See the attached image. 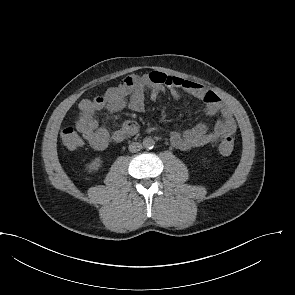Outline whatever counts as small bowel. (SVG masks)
I'll return each instance as SVG.
<instances>
[{"instance_id": "1", "label": "small bowel", "mask_w": 295, "mask_h": 295, "mask_svg": "<svg viewBox=\"0 0 295 295\" xmlns=\"http://www.w3.org/2000/svg\"><path fill=\"white\" fill-rule=\"evenodd\" d=\"M166 88L173 99H179L180 91H183L204 103L205 114L219 115L218 121L211 129L205 123H198L186 131L171 132L170 141L175 148L187 151L217 143L235 133L234 117L215 92L196 82L157 71L142 76H127L117 86L107 89L103 94L93 99L81 100L78 105L76 128L83 139L96 150H103L111 143H119L136 134L138 124L134 120H126L110 133L106 128L99 126L95 114L104 109L116 113L125 108L142 112L146 93L149 92L150 99L156 101Z\"/></svg>"}]
</instances>
